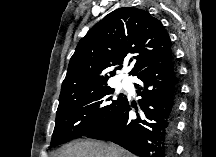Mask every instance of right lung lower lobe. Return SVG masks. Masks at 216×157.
I'll list each match as a JSON object with an SVG mask.
<instances>
[{
	"instance_id": "98d812e1",
	"label": "right lung lower lobe",
	"mask_w": 216,
	"mask_h": 157,
	"mask_svg": "<svg viewBox=\"0 0 216 157\" xmlns=\"http://www.w3.org/2000/svg\"><path fill=\"white\" fill-rule=\"evenodd\" d=\"M136 76L141 113L130 114L133 104L126 100L112 120L86 137L112 141L139 157H172L179 96L172 51Z\"/></svg>"
}]
</instances>
